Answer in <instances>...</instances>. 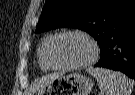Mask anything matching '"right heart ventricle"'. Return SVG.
Masks as SVG:
<instances>
[{"mask_svg": "<svg viewBox=\"0 0 135 95\" xmlns=\"http://www.w3.org/2000/svg\"><path fill=\"white\" fill-rule=\"evenodd\" d=\"M51 35L50 36H47L41 43V45L39 46V49H38V64L40 66V69L42 71H49L51 70L52 68H50L46 62V59H45V52H46V48H47V45H48V42L50 41L51 39Z\"/></svg>", "mask_w": 135, "mask_h": 95, "instance_id": "1", "label": "right heart ventricle"}]
</instances>
